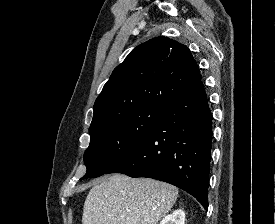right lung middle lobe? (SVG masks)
<instances>
[{"mask_svg": "<svg viewBox=\"0 0 275 224\" xmlns=\"http://www.w3.org/2000/svg\"><path fill=\"white\" fill-rule=\"evenodd\" d=\"M166 109L143 107L89 128L90 145L84 153L86 174L99 177L128 156L152 131Z\"/></svg>", "mask_w": 275, "mask_h": 224, "instance_id": "obj_1", "label": "right lung middle lobe"}]
</instances>
